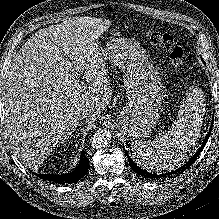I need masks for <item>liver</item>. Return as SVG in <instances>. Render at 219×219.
I'll use <instances>...</instances> for the list:
<instances>
[{
	"mask_svg": "<svg viewBox=\"0 0 219 219\" xmlns=\"http://www.w3.org/2000/svg\"><path fill=\"white\" fill-rule=\"evenodd\" d=\"M110 24L71 17L36 32L15 55L4 86V123L28 166L36 168L77 128L78 108H88L86 121L93 123L111 100L97 43Z\"/></svg>",
	"mask_w": 219,
	"mask_h": 219,
	"instance_id": "6515ba94",
	"label": "liver"
}]
</instances>
